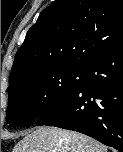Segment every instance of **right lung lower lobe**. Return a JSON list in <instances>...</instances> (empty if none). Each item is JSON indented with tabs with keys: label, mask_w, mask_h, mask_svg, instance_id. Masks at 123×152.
Segmentation results:
<instances>
[{
	"label": "right lung lower lobe",
	"mask_w": 123,
	"mask_h": 152,
	"mask_svg": "<svg viewBox=\"0 0 123 152\" xmlns=\"http://www.w3.org/2000/svg\"><path fill=\"white\" fill-rule=\"evenodd\" d=\"M82 70L78 89L37 125L77 131L123 152V43Z\"/></svg>",
	"instance_id": "98d812e1"
}]
</instances>
